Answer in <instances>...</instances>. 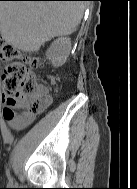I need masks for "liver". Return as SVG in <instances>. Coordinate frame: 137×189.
I'll use <instances>...</instances> for the list:
<instances>
[{"label":"liver","instance_id":"1","mask_svg":"<svg viewBox=\"0 0 137 189\" xmlns=\"http://www.w3.org/2000/svg\"><path fill=\"white\" fill-rule=\"evenodd\" d=\"M84 9L82 1H0V30L8 43L31 50L53 36L72 33Z\"/></svg>","mask_w":137,"mask_h":189}]
</instances>
